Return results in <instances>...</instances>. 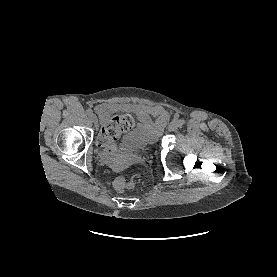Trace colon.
Wrapping results in <instances>:
<instances>
[{
  "label": "colon",
  "mask_w": 277,
  "mask_h": 277,
  "mask_svg": "<svg viewBox=\"0 0 277 277\" xmlns=\"http://www.w3.org/2000/svg\"><path fill=\"white\" fill-rule=\"evenodd\" d=\"M133 124L134 120L130 115H118L112 117L108 123L101 128L97 138L98 145L105 152H115L118 138L123 133L128 132L133 127ZM113 185L118 192H126L132 188L131 183L125 177L116 178Z\"/></svg>",
  "instance_id": "5ec220e1"
}]
</instances>
